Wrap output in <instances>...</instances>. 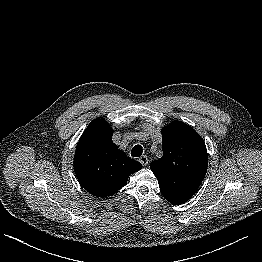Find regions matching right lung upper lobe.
I'll return each instance as SVG.
<instances>
[{"instance_id":"cb5924a9","label":"right lung upper lobe","mask_w":262,"mask_h":262,"mask_svg":"<svg viewBox=\"0 0 262 262\" xmlns=\"http://www.w3.org/2000/svg\"><path fill=\"white\" fill-rule=\"evenodd\" d=\"M113 130L105 119L93 120L81 136L75 151L74 170L90 194L104 198L127 183L128 177L142 165L118 149L112 142Z\"/></svg>"}]
</instances>
